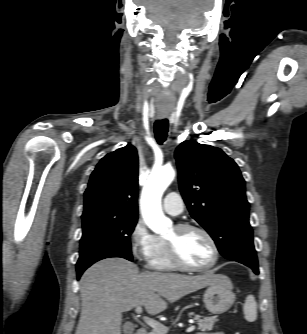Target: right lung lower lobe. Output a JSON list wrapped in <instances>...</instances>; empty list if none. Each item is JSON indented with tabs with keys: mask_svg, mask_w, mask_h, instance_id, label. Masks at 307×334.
Returning a JSON list of instances; mask_svg holds the SVG:
<instances>
[{
	"mask_svg": "<svg viewBox=\"0 0 307 334\" xmlns=\"http://www.w3.org/2000/svg\"><path fill=\"white\" fill-rule=\"evenodd\" d=\"M84 272V271H83ZM83 272H77V278L79 279Z\"/></svg>",
	"mask_w": 307,
	"mask_h": 334,
	"instance_id": "98d812e1",
	"label": "right lung lower lobe"
}]
</instances>
